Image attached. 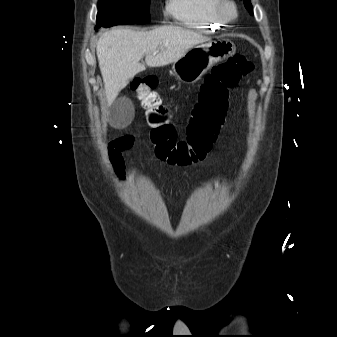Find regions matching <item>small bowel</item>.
Here are the masks:
<instances>
[{"label":"small bowel","mask_w":337,"mask_h":337,"mask_svg":"<svg viewBox=\"0 0 337 337\" xmlns=\"http://www.w3.org/2000/svg\"><path fill=\"white\" fill-rule=\"evenodd\" d=\"M133 138L122 137L114 140L109 148V162L112 165L114 174L121 185H125L130 180L129 163L131 157H124V150H134Z\"/></svg>","instance_id":"c3829d8e"}]
</instances>
